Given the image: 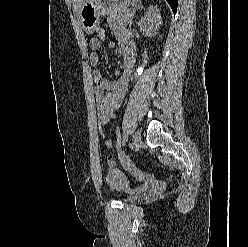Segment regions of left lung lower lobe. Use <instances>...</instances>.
Instances as JSON below:
<instances>
[{
  "instance_id": "obj_1",
  "label": "left lung lower lobe",
  "mask_w": 248,
  "mask_h": 247,
  "mask_svg": "<svg viewBox=\"0 0 248 247\" xmlns=\"http://www.w3.org/2000/svg\"><path fill=\"white\" fill-rule=\"evenodd\" d=\"M166 1L169 3V5L172 8V11L175 14L176 13V10H177L178 0H166Z\"/></svg>"
}]
</instances>
